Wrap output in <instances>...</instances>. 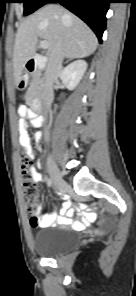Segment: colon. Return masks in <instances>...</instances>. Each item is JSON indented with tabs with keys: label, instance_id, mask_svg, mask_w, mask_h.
Returning a JSON list of instances; mask_svg holds the SVG:
<instances>
[{
	"label": "colon",
	"instance_id": "colon-1",
	"mask_svg": "<svg viewBox=\"0 0 136 296\" xmlns=\"http://www.w3.org/2000/svg\"><path fill=\"white\" fill-rule=\"evenodd\" d=\"M22 190L26 199V206L29 213L32 214V222H36V213L38 206V193L35 178L28 158L22 161Z\"/></svg>",
	"mask_w": 136,
	"mask_h": 296
}]
</instances>
